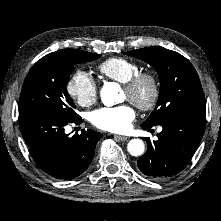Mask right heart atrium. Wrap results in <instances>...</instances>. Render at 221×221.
Listing matches in <instances>:
<instances>
[{"instance_id": "obj_1", "label": "right heart atrium", "mask_w": 221, "mask_h": 221, "mask_svg": "<svg viewBox=\"0 0 221 221\" xmlns=\"http://www.w3.org/2000/svg\"><path fill=\"white\" fill-rule=\"evenodd\" d=\"M69 96L82 107L93 105L98 97V87L92 76L83 71H75L66 83Z\"/></svg>"}]
</instances>
